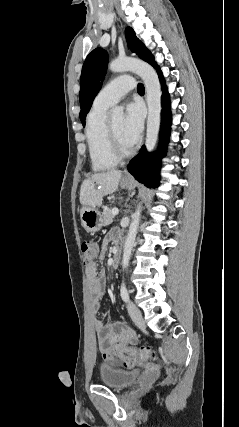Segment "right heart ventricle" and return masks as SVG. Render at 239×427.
Masks as SVG:
<instances>
[{
  "instance_id": "right-heart-ventricle-1",
  "label": "right heart ventricle",
  "mask_w": 239,
  "mask_h": 427,
  "mask_svg": "<svg viewBox=\"0 0 239 427\" xmlns=\"http://www.w3.org/2000/svg\"><path fill=\"white\" fill-rule=\"evenodd\" d=\"M108 108L94 104L86 120V140L92 168L95 171L108 170L118 162L112 155L108 142Z\"/></svg>"
}]
</instances>
